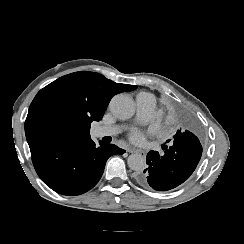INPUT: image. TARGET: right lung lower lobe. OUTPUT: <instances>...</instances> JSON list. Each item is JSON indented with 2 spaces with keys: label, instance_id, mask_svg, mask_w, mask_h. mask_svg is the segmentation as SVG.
<instances>
[{
  "label": "right lung lower lobe",
  "instance_id": "right-lung-lower-lobe-1",
  "mask_svg": "<svg viewBox=\"0 0 244 244\" xmlns=\"http://www.w3.org/2000/svg\"><path fill=\"white\" fill-rule=\"evenodd\" d=\"M91 137L78 141H44L30 145L32 162L43 182L63 195H80L100 180L107 159L125 150Z\"/></svg>",
  "mask_w": 244,
  "mask_h": 244
}]
</instances>
